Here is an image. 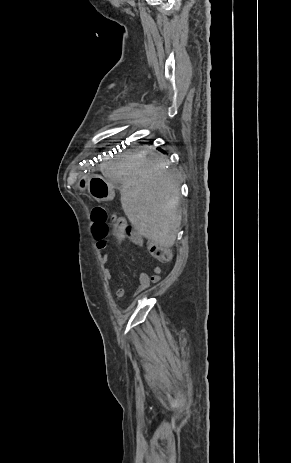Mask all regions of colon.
<instances>
[{
	"instance_id": "1",
	"label": "colon",
	"mask_w": 291,
	"mask_h": 463,
	"mask_svg": "<svg viewBox=\"0 0 291 463\" xmlns=\"http://www.w3.org/2000/svg\"><path fill=\"white\" fill-rule=\"evenodd\" d=\"M92 226L91 234L96 240L99 249L107 245V237L114 233L119 240L129 239L133 234L131 226L122 218L109 216L107 209L101 205L94 206L90 212ZM151 255L162 263L171 259V252L168 248L151 244L149 246Z\"/></svg>"
}]
</instances>
